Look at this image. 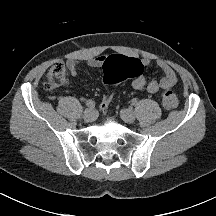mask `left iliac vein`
<instances>
[{"label": "left iliac vein", "mask_w": 216, "mask_h": 216, "mask_svg": "<svg viewBox=\"0 0 216 216\" xmlns=\"http://www.w3.org/2000/svg\"><path fill=\"white\" fill-rule=\"evenodd\" d=\"M120 116L126 123H133L135 121V114L130 109H122L120 111Z\"/></svg>", "instance_id": "4c4485c4"}]
</instances>
